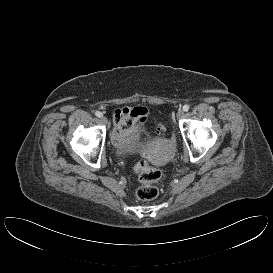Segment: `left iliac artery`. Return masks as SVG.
<instances>
[{"instance_id":"obj_1","label":"left iliac artery","mask_w":273,"mask_h":273,"mask_svg":"<svg viewBox=\"0 0 273 273\" xmlns=\"http://www.w3.org/2000/svg\"><path fill=\"white\" fill-rule=\"evenodd\" d=\"M183 110H184V111H188V110H189V105L185 104V105L183 106Z\"/></svg>"}]
</instances>
